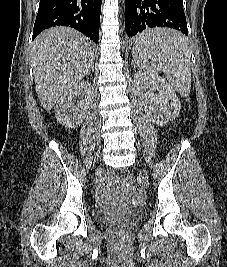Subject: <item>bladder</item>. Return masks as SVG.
<instances>
[{
	"mask_svg": "<svg viewBox=\"0 0 227 267\" xmlns=\"http://www.w3.org/2000/svg\"><path fill=\"white\" fill-rule=\"evenodd\" d=\"M127 216V212L123 209L97 208L95 217L101 223H108L114 220H120Z\"/></svg>",
	"mask_w": 227,
	"mask_h": 267,
	"instance_id": "1",
	"label": "bladder"
}]
</instances>
